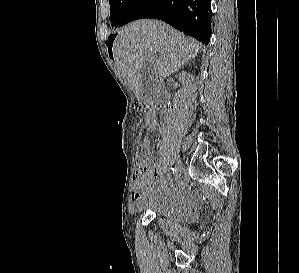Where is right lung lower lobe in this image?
Returning <instances> with one entry per match:
<instances>
[{"instance_id": "obj_1", "label": "right lung lower lobe", "mask_w": 299, "mask_h": 273, "mask_svg": "<svg viewBox=\"0 0 299 273\" xmlns=\"http://www.w3.org/2000/svg\"><path fill=\"white\" fill-rule=\"evenodd\" d=\"M211 17V0H135L119 25L157 18L207 45L212 33Z\"/></svg>"}]
</instances>
